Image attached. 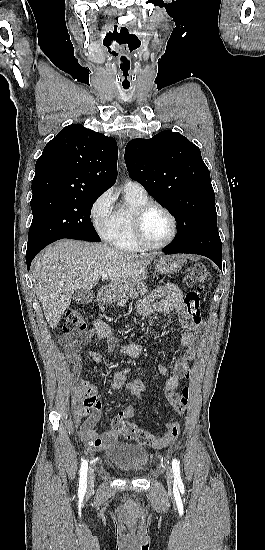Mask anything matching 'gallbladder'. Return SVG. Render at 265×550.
<instances>
[{
    "instance_id": "1",
    "label": "gallbladder",
    "mask_w": 265,
    "mask_h": 550,
    "mask_svg": "<svg viewBox=\"0 0 265 550\" xmlns=\"http://www.w3.org/2000/svg\"><path fill=\"white\" fill-rule=\"evenodd\" d=\"M93 298H94V293L91 289H80L76 291L75 294L73 295V300L77 304H82V305L90 303L93 300Z\"/></svg>"
}]
</instances>
